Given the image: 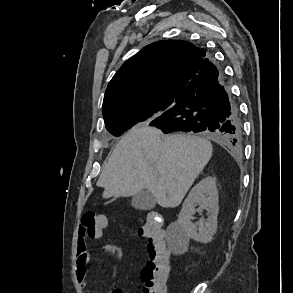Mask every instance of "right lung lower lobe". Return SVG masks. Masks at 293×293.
<instances>
[{"instance_id":"right-lung-lower-lobe-1","label":"right lung lower lobe","mask_w":293,"mask_h":293,"mask_svg":"<svg viewBox=\"0 0 293 293\" xmlns=\"http://www.w3.org/2000/svg\"><path fill=\"white\" fill-rule=\"evenodd\" d=\"M149 124L165 133L204 132L237 149L242 144L238 106L212 61L178 94L173 107Z\"/></svg>"}]
</instances>
